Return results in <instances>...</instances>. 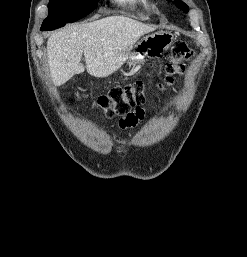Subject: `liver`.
<instances>
[{
  "label": "liver",
  "mask_w": 247,
  "mask_h": 257,
  "mask_svg": "<svg viewBox=\"0 0 247 257\" xmlns=\"http://www.w3.org/2000/svg\"><path fill=\"white\" fill-rule=\"evenodd\" d=\"M155 28L125 16H109L96 21L68 25L50 35L47 57L55 86L86 70L94 77H108L128 59L138 39Z\"/></svg>",
  "instance_id": "liver-1"
}]
</instances>
